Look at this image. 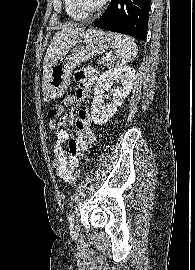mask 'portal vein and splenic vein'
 Returning <instances> with one entry per match:
<instances>
[{
    "label": "portal vein and splenic vein",
    "mask_w": 195,
    "mask_h": 270,
    "mask_svg": "<svg viewBox=\"0 0 195 270\" xmlns=\"http://www.w3.org/2000/svg\"><path fill=\"white\" fill-rule=\"evenodd\" d=\"M106 57H107V58H111V54H109V53L106 54Z\"/></svg>",
    "instance_id": "obj_1"
}]
</instances>
